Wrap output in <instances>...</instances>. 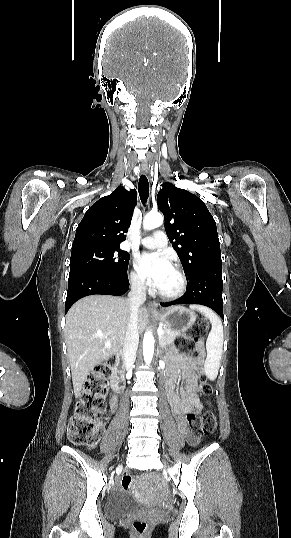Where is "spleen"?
Here are the masks:
<instances>
[{
  "label": "spleen",
  "instance_id": "spleen-1",
  "mask_svg": "<svg viewBox=\"0 0 291 538\" xmlns=\"http://www.w3.org/2000/svg\"><path fill=\"white\" fill-rule=\"evenodd\" d=\"M191 309L198 310L206 316L212 328L206 340L207 358L205 360V373L210 380H215L220 367L223 347V326L218 316L209 308L201 305H191Z\"/></svg>",
  "mask_w": 291,
  "mask_h": 538
}]
</instances>
